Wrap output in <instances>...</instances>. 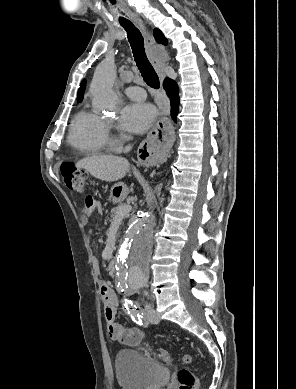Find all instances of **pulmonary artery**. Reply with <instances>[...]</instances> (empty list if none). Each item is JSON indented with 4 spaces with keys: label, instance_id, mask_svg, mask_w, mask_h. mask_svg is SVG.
Wrapping results in <instances>:
<instances>
[{
    "label": "pulmonary artery",
    "instance_id": "obj_1",
    "mask_svg": "<svg viewBox=\"0 0 296 389\" xmlns=\"http://www.w3.org/2000/svg\"><path fill=\"white\" fill-rule=\"evenodd\" d=\"M125 94L133 100H144L146 93L143 88L138 86H129L125 88Z\"/></svg>",
    "mask_w": 296,
    "mask_h": 389
}]
</instances>
